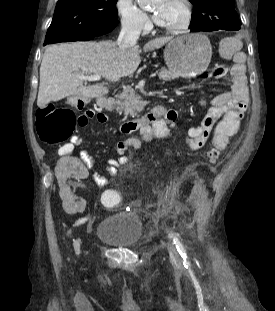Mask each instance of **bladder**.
<instances>
[{"label":"bladder","instance_id":"1","mask_svg":"<svg viewBox=\"0 0 275 311\" xmlns=\"http://www.w3.org/2000/svg\"><path fill=\"white\" fill-rule=\"evenodd\" d=\"M144 227L138 212L121 211L104 217L95 235L116 248H134L143 240Z\"/></svg>","mask_w":275,"mask_h":311}]
</instances>
